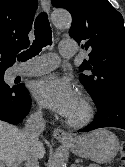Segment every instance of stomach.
Wrapping results in <instances>:
<instances>
[{
    "label": "stomach",
    "mask_w": 125,
    "mask_h": 167,
    "mask_svg": "<svg viewBox=\"0 0 125 167\" xmlns=\"http://www.w3.org/2000/svg\"><path fill=\"white\" fill-rule=\"evenodd\" d=\"M66 145L76 155L97 163L110 162L119 151L118 138L106 129H98L78 136Z\"/></svg>",
    "instance_id": "obj_1"
}]
</instances>
